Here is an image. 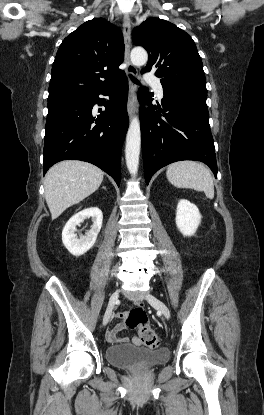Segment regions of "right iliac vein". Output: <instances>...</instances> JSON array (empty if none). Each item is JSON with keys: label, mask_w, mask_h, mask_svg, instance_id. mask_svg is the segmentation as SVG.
Returning <instances> with one entry per match:
<instances>
[{"label": "right iliac vein", "mask_w": 264, "mask_h": 415, "mask_svg": "<svg viewBox=\"0 0 264 415\" xmlns=\"http://www.w3.org/2000/svg\"><path fill=\"white\" fill-rule=\"evenodd\" d=\"M118 298H119V290H116L110 296L109 304L107 306L106 312H105L104 317H103V325L104 326L108 323V321L110 319V316H111V313H112V310H113V307H114L116 301L118 300Z\"/></svg>", "instance_id": "right-iliac-vein-1"}]
</instances>
